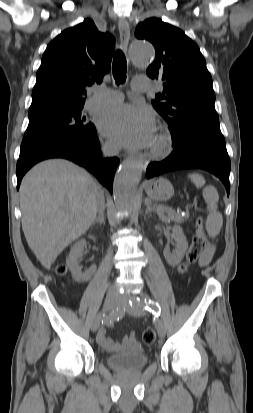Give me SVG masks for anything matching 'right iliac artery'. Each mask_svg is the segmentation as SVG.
<instances>
[{
	"instance_id": "obj_1",
	"label": "right iliac artery",
	"mask_w": 253,
	"mask_h": 413,
	"mask_svg": "<svg viewBox=\"0 0 253 413\" xmlns=\"http://www.w3.org/2000/svg\"><path fill=\"white\" fill-rule=\"evenodd\" d=\"M124 313H125V310L123 308H117L109 316H105V314L103 313V314H98L97 318L101 320L102 323L105 322V323L111 324L112 322L122 318Z\"/></svg>"
}]
</instances>
